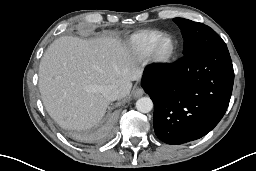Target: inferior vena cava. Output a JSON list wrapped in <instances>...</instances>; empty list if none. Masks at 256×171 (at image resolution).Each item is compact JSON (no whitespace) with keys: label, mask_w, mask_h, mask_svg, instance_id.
<instances>
[{"label":"inferior vena cava","mask_w":256,"mask_h":171,"mask_svg":"<svg viewBox=\"0 0 256 171\" xmlns=\"http://www.w3.org/2000/svg\"><path fill=\"white\" fill-rule=\"evenodd\" d=\"M102 95L109 101H115L119 97V90L114 85H106L102 88Z\"/></svg>","instance_id":"602c4592"}]
</instances>
